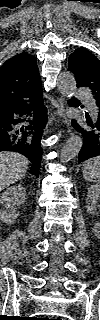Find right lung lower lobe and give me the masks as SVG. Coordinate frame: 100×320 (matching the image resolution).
Listing matches in <instances>:
<instances>
[{"label": "right lung lower lobe", "instance_id": "right-lung-lower-lobe-1", "mask_svg": "<svg viewBox=\"0 0 100 320\" xmlns=\"http://www.w3.org/2000/svg\"><path fill=\"white\" fill-rule=\"evenodd\" d=\"M45 123L42 92L0 115V151H14L26 156L33 164L30 173L35 176L39 175L41 165V138Z\"/></svg>", "mask_w": 100, "mask_h": 320}]
</instances>
